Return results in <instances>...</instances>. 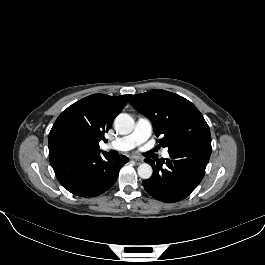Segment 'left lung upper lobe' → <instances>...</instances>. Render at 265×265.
Masks as SVG:
<instances>
[{"label": "left lung upper lobe", "instance_id": "5c2ea615", "mask_svg": "<svg viewBox=\"0 0 265 265\" xmlns=\"http://www.w3.org/2000/svg\"><path fill=\"white\" fill-rule=\"evenodd\" d=\"M129 103L153 124L160 145L168 152L211 140L209 126L199 110L184 97L165 90L131 96Z\"/></svg>", "mask_w": 265, "mask_h": 265}]
</instances>
